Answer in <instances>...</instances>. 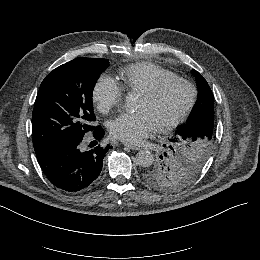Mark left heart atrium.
Instances as JSON below:
<instances>
[{
    "instance_id": "39dd6f15",
    "label": "left heart atrium",
    "mask_w": 260,
    "mask_h": 260,
    "mask_svg": "<svg viewBox=\"0 0 260 260\" xmlns=\"http://www.w3.org/2000/svg\"><path fill=\"white\" fill-rule=\"evenodd\" d=\"M156 125L145 109L135 113H122L110 123V133L113 137L127 143H138L153 134Z\"/></svg>"
}]
</instances>
